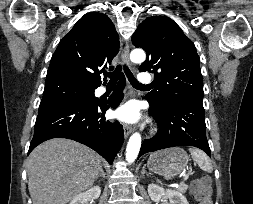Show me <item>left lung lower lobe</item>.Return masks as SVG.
I'll return each instance as SVG.
<instances>
[{"label":"left lung lower lobe","mask_w":253,"mask_h":204,"mask_svg":"<svg viewBox=\"0 0 253 204\" xmlns=\"http://www.w3.org/2000/svg\"><path fill=\"white\" fill-rule=\"evenodd\" d=\"M149 114L157 121L159 130L143 142L138 158L174 146H194L210 155L202 100L177 102L163 109L150 104Z\"/></svg>","instance_id":"left-lung-lower-lobe-1"}]
</instances>
